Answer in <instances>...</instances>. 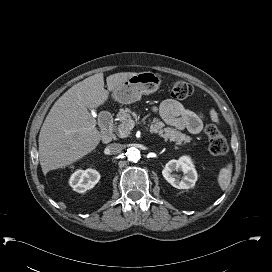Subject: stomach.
<instances>
[{
  "instance_id": "0dacf381",
  "label": "stomach",
  "mask_w": 272,
  "mask_h": 272,
  "mask_svg": "<svg viewBox=\"0 0 272 272\" xmlns=\"http://www.w3.org/2000/svg\"><path fill=\"white\" fill-rule=\"evenodd\" d=\"M161 82V76L157 73L150 71L137 73L115 89L112 97L121 104H131L140 100L144 94L156 92Z\"/></svg>"
}]
</instances>
